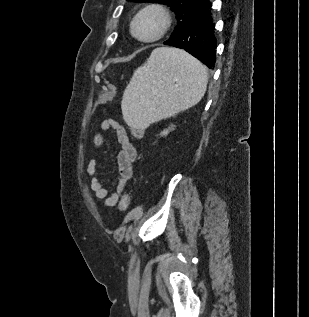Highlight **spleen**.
<instances>
[{"mask_svg":"<svg viewBox=\"0 0 309 317\" xmlns=\"http://www.w3.org/2000/svg\"><path fill=\"white\" fill-rule=\"evenodd\" d=\"M208 83L206 67L183 50L159 47L138 67L121 103L125 122L132 127L172 117L195 106Z\"/></svg>","mask_w":309,"mask_h":317,"instance_id":"1","label":"spleen"}]
</instances>
